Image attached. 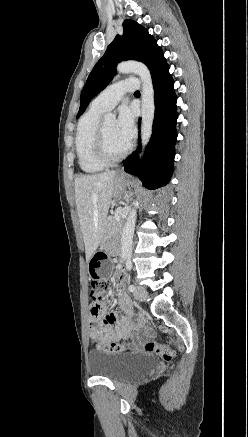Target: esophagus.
Returning <instances> with one entry per match:
<instances>
[{
    "mask_svg": "<svg viewBox=\"0 0 248 437\" xmlns=\"http://www.w3.org/2000/svg\"><path fill=\"white\" fill-rule=\"evenodd\" d=\"M119 176H123V174H122V173H120V174H119Z\"/></svg>",
    "mask_w": 248,
    "mask_h": 437,
    "instance_id": "esophagus-1",
    "label": "esophagus"
}]
</instances>
